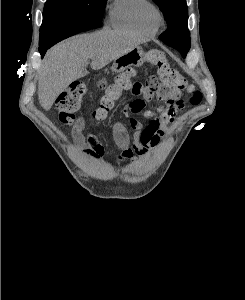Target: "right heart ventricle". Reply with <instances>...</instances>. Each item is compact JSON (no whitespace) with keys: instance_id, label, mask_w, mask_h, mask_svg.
Masks as SVG:
<instances>
[{"instance_id":"obj_1","label":"right heart ventricle","mask_w":245,"mask_h":300,"mask_svg":"<svg viewBox=\"0 0 245 300\" xmlns=\"http://www.w3.org/2000/svg\"><path fill=\"white\" fill-rule=\"evenodd\" d=\"M154 9L149 0H114L109 22L116 30L153 35L158 26L150 22L149 14Z\"/></svg>"}]
</instances>
